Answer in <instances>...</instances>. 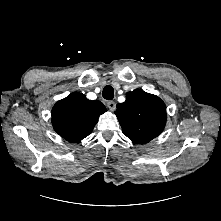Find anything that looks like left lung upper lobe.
<instances>
[{"label":"left lung upper lobe","mask_w":221,"mask_h":221,"mask_svg":"<svg viewBox=\"0 0 221 221\" xmlns=\"http://www.w3.org/2000/svg\"><path fill=\"white\" fill-rule=\"evenodd\" d=\"M122 132L134 143H147L157 137L166 124V106L156 95L136 89L115 112Z\"/></svg>","instance_id":"1"}]
</instances>
